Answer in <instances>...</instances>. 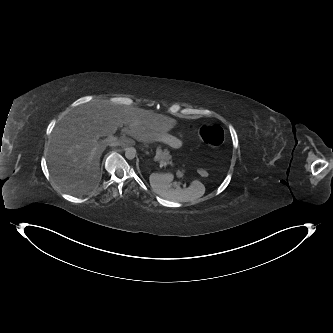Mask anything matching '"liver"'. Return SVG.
Masks as SVG:
<instances>
[{
    "label": "liver",
    "mask_w": 333,
    "mask_h": 333,
    "mask_svg": "<svg viewBox=\"0 0 333 333\" xmlns=\"http://www.w3.org/2000/svg\"><path fill=\"white\" fill-rule=\"evenodd\" d=\"M176 122L130 103L97 99L79 105L53 130L48 146L49 171L66 192L85 194L98 186L100 157L110 143L126 146L133 141L126 135L143 143L163 141ZM118 128H122L123 136L109 141ZM105 136L106 139L98 140Z\"/></svg>",
    "instance_id": "1"
}]
</instances>
